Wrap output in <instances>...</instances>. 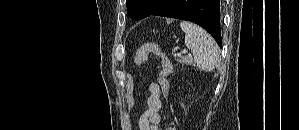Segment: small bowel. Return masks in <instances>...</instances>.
Returning a JSON list of instances; mask_svg holds the SVG:
<instances>
[{"label":"small bowel","instance_id":"c3829d8e","mask_svg":"<svg viewBox=\"0 0 299 130\" xmlns=\"http://www.w3.org/2000/svg\"><path fill=\"white\" fill-rule=\"evenodd\" d=\"M161 105V88L157 83L151 82L147 89L145 109L138 121L139 130H160Z\"/></svg>","mask_w":299,"mask_h":130}]
</instances>
